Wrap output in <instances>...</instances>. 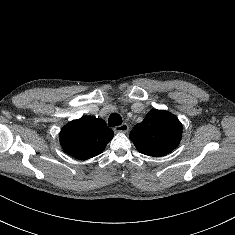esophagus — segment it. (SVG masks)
Wrapping results in <instances>:
<instances>
[{
  "label": "esophagus",
  "instance_id": "obj_1",
  "mask_svg": "<svg viewBox=\"0 0 235 235\" xmlns=\"http://www.w3.org/2000/svg\"><path fill=\"white\" fill-rule=\"evenodd\" d=\"M129 130V126L127 123H123L122 125L116 126L114 128L115 133H126Z\"/></svg>",
  "mask_w": 235,
  "mask_h": 235
}]
</instances>
